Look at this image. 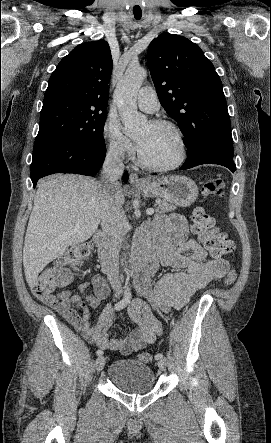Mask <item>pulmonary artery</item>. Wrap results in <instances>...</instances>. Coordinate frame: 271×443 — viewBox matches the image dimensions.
I'll return each mask as SVG.
<instances>
[{
	"label": "pulmonary artery",
	"instance_id": "pulmonary-artery-1",
	"mask_svg": "<svg viewBox=\"0 0 271 443\" xmlns=\"http://www.w3.org/2000/svg\"><path fill=\"white\" fill-rule=\"evenodd\" d=\"M138 107L145 112L154 113L159 109V101L155 91L151 87H143L136 96Z\"/></svg>",
	"mask_w": 271,
	"mask_h": 443
}]
</instances>
